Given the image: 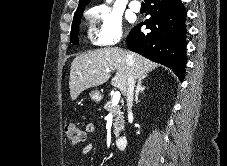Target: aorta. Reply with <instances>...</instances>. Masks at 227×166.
I'll list each match as a JSON object with an SVG mask.
<instances>
[{
  "instance_id": "obj_1",
  "label": "aorta",
  "mask_w": 227,
  "mask_h": 166,
  "mask_svg": "<svg viewBox=\"0 0 227 166\" xmlns=\"http://www.w3.org/2000/svg\"><path fill=\"white\" fill-rule=\"evenodd\" d=\"M108 3L111 2V0H106Z\"/></svg>"
}]
</instances>
